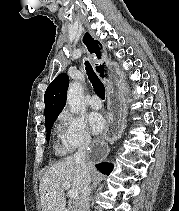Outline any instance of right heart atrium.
Segmentation results:
<instances>
[{"instance_id": "right-heart-atrium-1", "label": "right heart atrium", "mask_w": 179, "mask_h": 211, "mask_svg": "<svg viewBox=\"0 0 179 211\" xmlns=\"http://www.w3.org/2000/svg\"><path fill=\"white\" fill-rule=\"evenodd\" d=\"M58 134L68 152L91 143V133L84 119L69 111H63L59 116Z\"/></svg>"}]
</instances>
